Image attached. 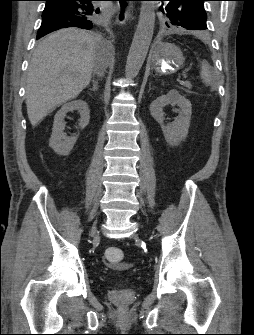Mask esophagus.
Returning a JSON list of instances; mask_svg holds the SVG:
<instances>
[{
    "label": "esophagus",
    "instance_id": "34e87169",
    "mask_svg": "<svg viewBox=\"0 0 254 335\" xmlns=\"http://www.w3.org/2000/svg\"><path fill=\"white\" fill-rule=\"evenodd\" d=\"M133 19L131 7L128 5L119 6L117 22L119 25H125L127 21Z\"/></svg>",
    "mask_w": 254,
    "mask_h": 335
}]
</instances>
